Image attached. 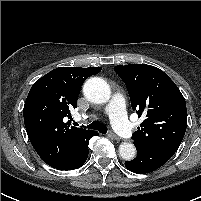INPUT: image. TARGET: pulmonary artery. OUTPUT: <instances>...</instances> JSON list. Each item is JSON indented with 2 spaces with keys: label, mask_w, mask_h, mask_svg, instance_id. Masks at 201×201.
<instances>
[{
  "label": "pulmonary artery",
  "mask_w": 201,
  "mask_h": 201,
  "mask_svg": "<svg viewBox=\"0 0 201 201\" xmlns=\"http://www.w3.org/2000/svg\"><path fill=\"white\" fill-rule=\"evenodd\" d=\"M105 111L111 117L114 128L122 136L130 138L132 135V126L126 117L123 97L119 94H114Z\"/></svg>",
  "instance_id": "pulmonary-artery-1"
}]
</instances>
